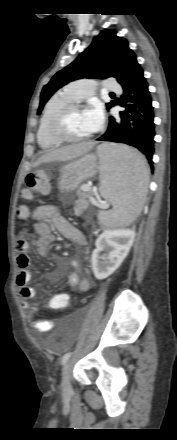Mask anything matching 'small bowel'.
<instances>
[{
	"mask_svg": "<svg viewBox=\"0 0 177 440\" xmlns=\"http://www.w3.org/2000/svg\"><path fill=\"white\" fill-rule=\"evenodd\" d=\"M31 216L34 223L29 226L28 232H33L37 236L36 250L39 254L46 256L48 254L51 244L55 237L52 233V228L57 229L61 235L74 242L75 244L85 248V238L83 233L69 223L59 212L55 205H39L31 209ZM28 243L24 239H19L16 243L17 252V266L19 269L16 284L19 289V296L21 298L22 307L30 308L29 300L35 296V289L29 285L31 280V273L28 270L30 266V259L26 253ZM69 264L75 270L81 269L78 261L70 260ZM57 273L50 275L51 280L57 278ZM69 285L77 289L79 292H88L91 289L92 281L88 276L80 278L77 272H73L68 278ZM51 298H69L66 293H57ZM34 316H32L33 318ZM31 325L38 332H48L53 328V323L42 319H32Z\"/></svg>",
	"mask_w": 177,
	"mask_h": 440,
	"instance_id": "c3829d8e",
	"label": "small bowel"
}]
</instances>
